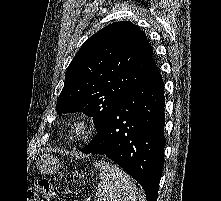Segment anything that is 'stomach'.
<instances>
[{
    "instance_id": "0dacf381",
    "label": "stomach",
    "mask_w": 221,
    "mask_h": 201,
    "mask_svg": "<svg viewBox=\"0 0 221 201\" xmlns=\"http://www.w3.org/2000/svg\"><path fill=\"white\" fill-rule=\"evenodd\" d=\"M37 166L41 172L46 174H53L61 167L58 160L48 154H44L39 158ZM79 176L80 178L84 177L83 174H79Z\"/></svg>"
}]
</instances>
